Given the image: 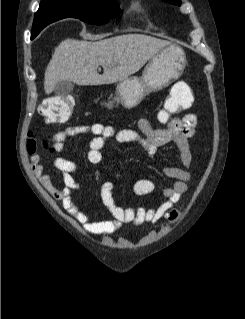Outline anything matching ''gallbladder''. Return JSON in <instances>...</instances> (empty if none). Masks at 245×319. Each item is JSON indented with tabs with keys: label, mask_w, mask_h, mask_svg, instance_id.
Here are the masks:
<instances>
[{
	"label": "gallbladder",
	"mask_w": 245,
	"mask_h": 319,
	"mask_svg": "<svg viewBox=\"0 0 245 319\" xmlns=\"http://www.w3.org/2000/svg\"><path fill=\"white\" fill-rule=\"evenodd\" d=\"M74 88V84L71 81L68 80H62L60 82L57 83V85L55 86L54 92L57 95H67L69 94Z\"/></svg>",
	"instance_id": "gallbladder-1"
}]
</instances>
